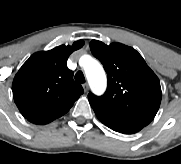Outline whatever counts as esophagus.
<instances>
[{
  "label": "esophagus",
  "mask_w": 181,
  "mask_h": 164,
  "mask_svg": "<svg viewBox=\"0 0 181 164\" xmlns=\"http://www.w3.org/2000/svg\"><path fill=\"white\" fill-rule=\"evenodd\" d=\"M82 86H83L84 91H85V92H87V91H88V89H89L88 84H87V83H85V84H83Z\"/></svg>",
  "instance_id": "1"
}]
</instances>
